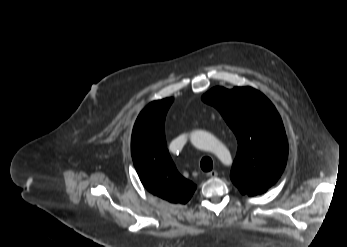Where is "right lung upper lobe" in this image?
I'll list each match as a JSON object with an SVG mask.
<instances>
[{
    "label": "right lung upper lobe",
    "instance_id": "obj_1",
    "mask_svg": "<svg viewBox=\"0 0 347 247\" xmlns=\"http://www.w3.org/2000/svg\"><path fill=\"white\" fill-rule=\"evenodd\" d=\"M173 98L153 101L139 114L132 132V158L138 176L152 194L185 204L196 186L177 171L167 149L164 121Z\"/></svg>",
    "mask_w": 347,
    "mask_h": 247
}]
</instances>
